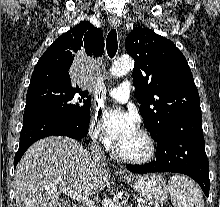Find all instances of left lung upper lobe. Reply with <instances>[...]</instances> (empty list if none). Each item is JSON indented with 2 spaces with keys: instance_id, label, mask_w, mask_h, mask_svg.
Instances as JSON below:
<instances>
[{
  "instance_id": "5c2ea615",
  "label": "left lung upper lobe",
  "mask_w": 220,
  "mask_h": 207,
  "mask_svg": "<svg viewBox=\"0 0 220 207\" xmlns=\"http://www.w3.org/2000/svg\"><path fill=\"white\" fill-rule=\"evenodd\" d=\"M135 60L133 80L140 114L154 139L190 114H201L200 98L186 58L176 45L151 29L137 27L125 40Z\"/></svg>"
}]
</instances>
